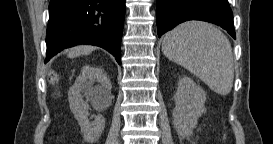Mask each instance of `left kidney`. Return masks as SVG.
Wrapping results in <instances>:
<instances>
[{
    "instance_id": "1",
    "label": "left kidney",
    "mask_w": 273,
    "mask_h": 144,
    "mask_svg": "<svg viewBox=\"0 0 273 144\" xmlns=\"http://www.w3.org/2000/svg\"><path fill=\"white\" fill-rule=\"evenodd\" d=\"M174 99V128L180 137H189L205 110L206 93L190 77L184 76L178 82Z\"/></svg>"
}]
</instances>
